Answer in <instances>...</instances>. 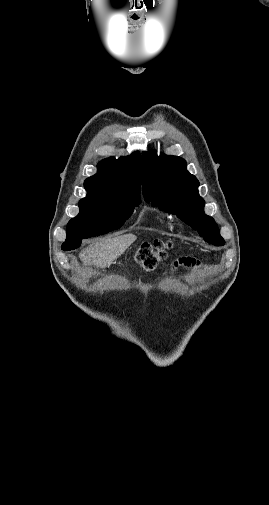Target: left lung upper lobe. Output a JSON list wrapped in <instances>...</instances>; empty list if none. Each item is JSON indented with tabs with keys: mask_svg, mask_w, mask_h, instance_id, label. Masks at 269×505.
Here are the masks:
<instances>
[{
	"mask_svg": "<svg viewBox=\"0 0 269 505\" xmlns=\"http://www.w3.org/2000/svg\"><path fill=\"white\" fill-rule=\"evenodd\" d=\"M199 181L186 170L181 157L142 154V191L146 202L160 210L176 214L197 230L205 241L223 246L218 225L204 213V200L198 193Z\"/></svg>",
	"mask_w": 269,
	"mask_h": 505,
	"instance_id": "left-lung-upper-lobe-1",
	"label": "left lung upper lobe"
}]
</instances>
